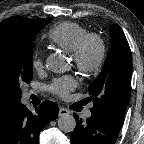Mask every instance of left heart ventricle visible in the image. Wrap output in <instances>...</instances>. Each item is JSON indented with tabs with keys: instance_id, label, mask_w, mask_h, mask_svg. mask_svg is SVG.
Wrapping results in <instances>:
<instances>
[{
	"instance_id": "obj_1",
	"label": "left heart ventricle",
	"mask_w": 144,
	"mask_h": 144,
	"mask_svg": "<svg viewBox=\"0 0 144 144\" xmlns=\"http://www.w3.org/2000/svg\"><path fill=\"white\" fill-rule=\"evenodd\" d=\"M94 52H95V47H94V46H92V47H91V49H90V54H91V55H93V54H94Z\"/></svg>"
}]
</instances>
